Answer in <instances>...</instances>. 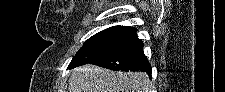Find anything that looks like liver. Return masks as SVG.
<instances>
[{
	"label": "liver",
	"instance_id": "1",
	"mask_svg": "<svg viewBox=\"0 0 225 92\" xmlns=\"http://www.w3.org/2000/svg\"><path fill=\"white\" fill-rule=\"evenodd\" d=\"M69 92H152L144 72H114L94 65L71 71Z\"/></svg>",
	"mask_w": 225,
	"mask_h": 92
}]
</instances>
